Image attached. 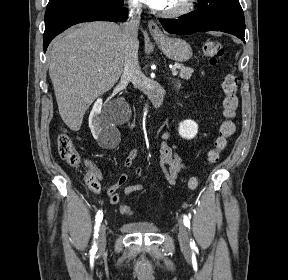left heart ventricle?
I'll return each instance as SVG.
<instances>
[{"instance_id":"left-heart-ventricle-1","label":"left heart ventricle","mask_w":288,"mask_h":280,"mask_svg":"<svg viewBox=\"0 0 288 280\" xmlns=\"http://www.w3.org/2000/svg\"><path fill=\"white\" fill-rule=\"evenodd\" d=\"M185 2V0H168V3L164 9V11H170V10H174L176 8H179L180 6L183 5V3Z\"/></svg>"}]
</instances>
